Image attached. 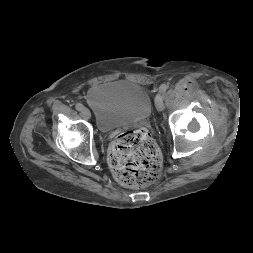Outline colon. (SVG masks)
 Masks as SVG:
<instances>
[{"instance_id": "colon-1", "label": "colon", "mask_w": 253, "mask_h": 253, "mask_svg": "<svg viewBox=\"0 0 253 253\" xmlns=\"http://www.w3.org/2000/svg\"><path fill=\"white\" fill-rule=\"evenodd\" d=\"M109 162L115 178L134 188L153 183L162 166L160 151L144 130L121 133L110 148Z\"/></svg>"}]
</instances>
